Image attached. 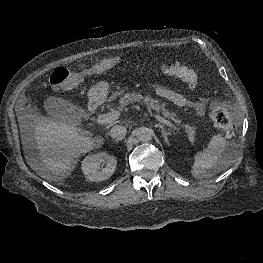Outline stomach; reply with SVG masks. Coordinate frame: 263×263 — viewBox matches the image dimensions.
Returning <instances> with one entry per match:
<instances>
[{
    "instance_id": "0dacf381",
    "label": "stomach",
    "mask_w": 263,
    "mask_h": 263,
    "mask_svg": "<svg viewBox=\"0 0 263 263\" xmlns=\"http://www.w3.org/2000/svg\"><path fill=\"white\" fill-rule=\"evenodd\" d=\"M109 93V83L106 81H100L92 86L88 92L90 101H102Z\"/></svg>"
}]
</instances>
